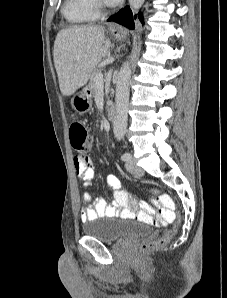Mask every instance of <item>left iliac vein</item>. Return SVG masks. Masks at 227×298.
<instances>
[{"label": "left iliac vein", "instance_id": "left-iliac-vein-1", "mask_svg": "<svg viewBox=\"0 0 227 298\" xmlns=\"http://www.w3.org/2000/svg\"><path fill=\"white\" fill-rule=\"evenodd\" d=\"M126 168L131 174L136 176H140L144 172L142 168L136 165L135 160L132 157L126 162Z\"/></svg>", "mask_w": 227, "mask_h": 298}]
</instances>
